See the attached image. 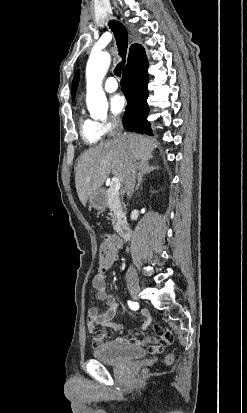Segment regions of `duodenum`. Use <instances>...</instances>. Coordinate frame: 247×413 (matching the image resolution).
I'll return each mask as SVG.
<instances>
[{
	"label": "duodenum",
	"mask_w": 247,
	"mask_h": 413,
	"mask_svg": "<svg viewBox=\"0 0 247 413\" xmlns=\"http://www.w3.org/2000/svg\"><path fill=\"white\" fill-rule=\"evenodd\" d=\"M118 235L126 240L131 236V227L128 223H123L118 226Z\"/></svg>",
	"instance_id": "1"
}]
</instances>
